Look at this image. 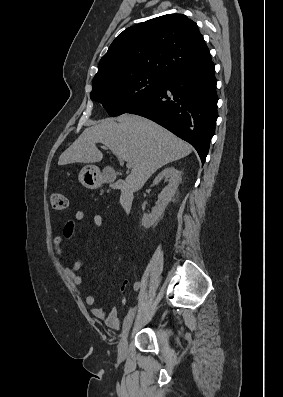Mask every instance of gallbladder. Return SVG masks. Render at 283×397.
I'll list each match as a JSON object with an SVG mask.
<instances>
[{"label": "gallbladder", "instance_id": "bac80fb5", "mask_svg": "<svg viewBox=\"0 0 283 397\" xmlns=\"http://www.w3.org/2000/svg\"><path fill=\"white\" fill-rule=\"evenodd\" d=\"M104 175H105V177H106V180L108 181V182H113L114 180H115V178H116V175H115V173L113 172V170L112 169H110V168H105V170H104Z\"/></svg>", "mask_w": 283, "mask_h": 397}]
</instances>
